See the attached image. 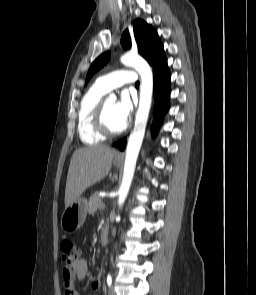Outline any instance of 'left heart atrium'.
<instances>
[{
  "label": "left heart atrium",
  "mask_w": 256,
  "mask_h": 295,
  "mask_svg": "<svg viewBox=\"0 0 256 295\" xmlns=\"http://www.w3.org/2000/svg\"><path fill=\"white\" fill-rule=\"evenodd\" d=\"M132 112V101L128 93H122L120 99L115 104V115L122 126H125Z\"/></svg>",
  "instance_id": "1"
}]
</instances>
